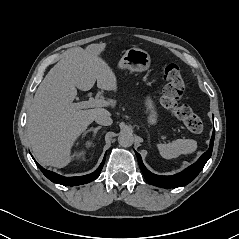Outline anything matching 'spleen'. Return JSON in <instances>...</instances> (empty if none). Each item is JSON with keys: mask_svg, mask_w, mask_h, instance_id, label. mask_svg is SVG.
Instances as JSON below:
<instances>
[{"mask_svg": "<svg viewBox=\"0 0 239 239\" xmlns=\"http://www.w3.org/2000/svg\"><path fill=\"white\" fill-rule=\"evenodd\" d=\"M157 148L163 158L172 159L182 154L193 153L197 149V142L193 139H177L171 143L158 144Z\"/></svg>", "mask_w": 239, "mask_h": 239, "instance_id": "spleen-1", "label": "spleen"}]
</instances>
